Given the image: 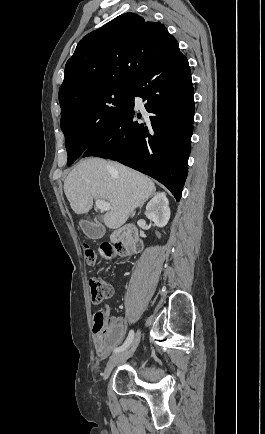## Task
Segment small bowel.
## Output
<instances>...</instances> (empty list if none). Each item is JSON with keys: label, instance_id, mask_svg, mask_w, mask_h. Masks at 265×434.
Instances as JSON below:
<instances>
[{"label": "small bowel", "instance_id": "1", "mask_svg": "<svg viewBox=\"0 0 265 434\" xmlns=\"http://www.w3.org/2000/svg\"><path fill=\"white\" fill-rule=\"evenodd\" d=\"M109 308L104 310V313L108 315ZM125 336V322L121 317H110L104 333L95 342V352L100 358H104L107 354L116 348L123 340Z\"/></svg>", "mask_w": 265, "mask_h": 434}]
</instances>
